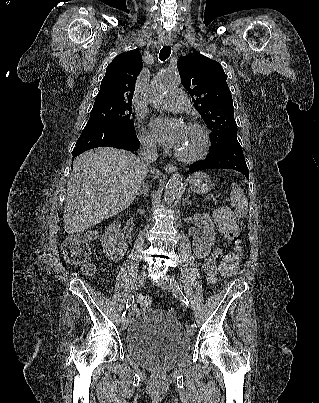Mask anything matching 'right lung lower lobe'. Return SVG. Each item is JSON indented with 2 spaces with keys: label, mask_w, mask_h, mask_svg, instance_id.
<instances>
[{
  "label": "right lung lower lobe",
  "mask_w": 319,
  "mask_h": 403,
  "mask_svg": "<svg viewBox=\"0 0 319 403\" xmlns=\"http://www.w3.org/2000/svg\"><path fill=\"white\" fill-rule=\"evenodd\" d=\"M100 146L137 151L140 142L135 130H129L121 125H95L83 129L72 155L77 157L86 150Z\"/></svg>",
  "instance_id": "98d812e1"
}]
</instances>
